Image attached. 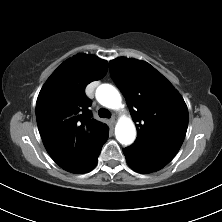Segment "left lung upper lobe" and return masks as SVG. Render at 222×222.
Wrapping results in <instances>:
<instances>
[{
    "instance_id": "1",
    "label": "left lung upper lobe",
    "mask_w": 222,
    "mask_h": 222,
    "mask_svg": "<svg viewBox=\"0 0 222 222\" xmlns=\"http://www.w3.org/2000/svg\"><path fill=\"white\" fill-rule=\"evenodd\" d=\"M111 77L123 93L137 127L126 158L152 170L166 166L179 151L188 127V109L172 84L144 61H110Z\"/></svg>"
}]
</instances>
